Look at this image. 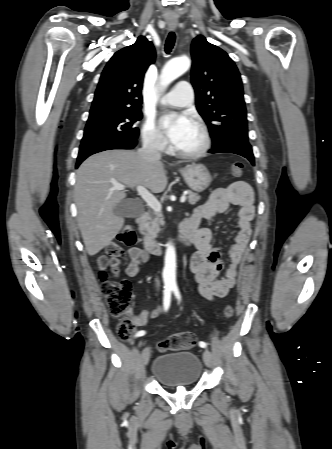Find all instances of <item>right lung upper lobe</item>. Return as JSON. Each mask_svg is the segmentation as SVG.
<instances>
[{
	"instance_id": "cb5924a9",
	"label": "right lung upper lobe",
	"mask_w": 332,
	"mask_h": 449,
	"mask_svg": "<svg viewBox=\"0 0 332 449\" xmlns=\"http://www.w3.org/2000/svg\"><path fill=\"white\" fill-rule=\"evenodd\" d=\"M154 59L155 49L143 36L116 52L101 74L90 113L139 109L144 74Z\"/></svg>"
}]
</instances>
